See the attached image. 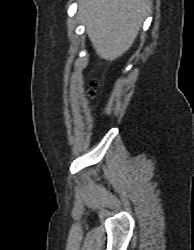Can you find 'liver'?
Segmentation results:
<instances>
[{
  "instance_id": "liver-1",
  "label": "liver",
  "mask_w": 194,
  "mask_h": 250,
  "mask_svg": "<svg viewBox=\"0 0 194 250\" xmlns=\"http://www.w3.org/2000/svg\"><path fill=\"white\" fill-rule=\"evenodd\" d=\"M149 0H80L79 17L96 54L107 61L133 44L149 9Z\"/></svg>"
}]
</instances>
